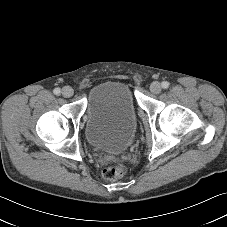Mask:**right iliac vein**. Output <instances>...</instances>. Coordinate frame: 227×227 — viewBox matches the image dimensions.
<instances>
[{
	"mask_svg": "<svg viewBox=\"0 0 227 227\" xmlns=\"http://www.w3.org/2000/svg\"><path fill=\"white\" fill-rule=\"evenodd\" d=\"M73 93H74V91H73L72 87H70V86H65L62 89V95L66 98L71 97L73 95Z\"/></svg>",
	"mask_w": 227,
	"mask_h": 227,
	"instance_id": "63e3f726",
	"label": "right iliac vein"
}]
</instances>
